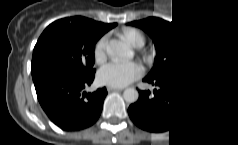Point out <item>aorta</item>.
<instances>
[{
    "label": "aorta",
    "mask_w": 238,
    "mask_h": 145,
    "mask_svg": "<svg viewBox=\"0 0 238 145\" xmlns=\"http://www.w3.org/2000/svg\"><path fill=\"white\" fill-rule=\"evenodd\" d=\"M106 49L110 55L118 58L131 59L133 57L130 47L120 40H111ZM123 97L126 102L133 103L138 99V92L133 88H127L123 92Z\"/></svg>",
    "instance_id": "aorta-1"
}]
</instances>
